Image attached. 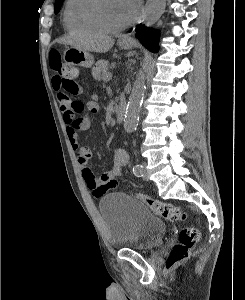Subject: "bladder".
<instances>
[{
  "label": "bladder",
  "mask_w": 245,
  "mask_h": 300,
  "mask_svg": "<svg viewBox=\"0 0 245 300\" xmlns=\"http://www.w3.org/2000/svg\"><path fill=\"white\" fill-rule=\"evenodd\" d=\"M107 239L114 249L148 252L159 246L166 224L142 202L122 193L107 195L99 202Z\"/></svg>",
  "instance_id": "obj_1"
}]
</instances>
